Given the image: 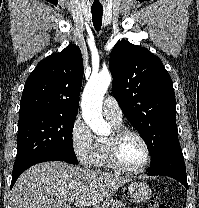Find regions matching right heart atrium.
<instances>
[{
  "mask_svg": "<svg viewBox=\"0 0 199 208\" xmlns=\"http://www.w3.org/2000/svg\"><path fill=\"white\" fill-rule=\"evenodd\" d=\"M72 150L82 165L92 166L96 154V142L81 116H77L70 128Z\"/></svg>",
  "mask_w": 199,
  "mask_h": 208,
  "instance_id": "1",
  "label": "right heart atrium"
}]
</instances>
